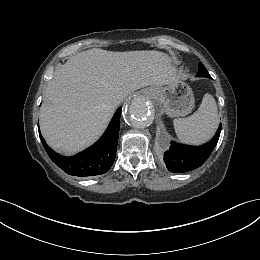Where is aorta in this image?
I'll return each instance as SVG.
<instances>
[{
	"label": "aorta",
	"mask_w": 260,
	"mask_h": 260,
	"mask_svg": "<svg viewBox=\"0 0 260 260\" xmlns=\"http://www.w3.org/2000/svg\"><path fill=\"white\" fill-rule=\"evenodd\" d=\"M152 116V108L148 100L142 96H138L129 105L126 119L132 127L143 129L151 123Z\"/></svg>",
	"instance_id": "aorta-1"
}]
</instances>
